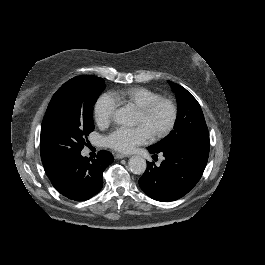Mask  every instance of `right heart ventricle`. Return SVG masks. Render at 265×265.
<instances>
[{"label": "right heart ventricle", "instance_id": "1", "mask_svg": "<svg viewBox=\"0 0 265 265\" xmlns=\"http://www.w3.org/2000/svg\"><path fill=\"white\" fill-rule=\"evenodd\" d=\"M110 95L117 105L133 107L137 110L143 108L150 101L159 98V95L146 87H125L114 89Z\"/></svg>", "mask_w": 265, "mask_h": 265}]
</instances>
